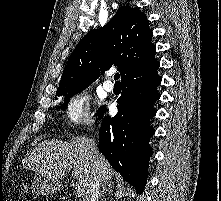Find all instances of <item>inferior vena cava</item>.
I'll return each mask as SVG.
<instances>
[{"label": "inferior vena cava", "mask_w": 221, "mask_h": 201, "mask_svg": "<svg viewBox=\"0 0 221 201\" xmlns=\"http://www.w3.org/2000/svg\"><path fill=\"white\" fill-rule=\"evenodd\" d=\"M90 153L93 162V180L90 184L89 193L87 196V201H98L100 195V188L102 186L101 173L97 164L98 150L95 146L94 139L89 140Z\"/></svg>", "instance_id": "1"}]
</instances>
